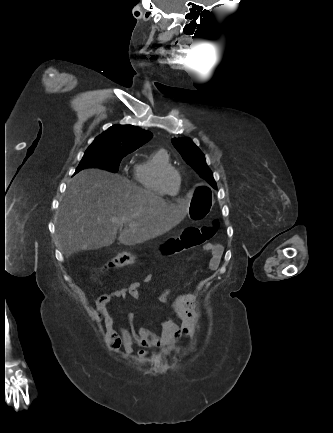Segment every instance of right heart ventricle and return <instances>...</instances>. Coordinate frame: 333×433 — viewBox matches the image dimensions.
<instances>
[{"mask_svg": "<svg viewBox=\"0 0 333 433\" xmlns=\"http://www.w3.org/2000/svg\"><path fill=\"white\" fill-rule=\"evenodd\" d=\"M166 166H171V159L164 149L156 150L145 160L139 161L134 167V179L136 183L154 195L164 197L166 194L158 183L159 171ZM180 191V179L174 196Z\"/></svg>", "mask_w": 333, "mask_h": 433, "instance_id": "obj_1", "label": "right heart ventricle"}]
</instances>
